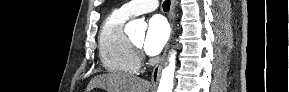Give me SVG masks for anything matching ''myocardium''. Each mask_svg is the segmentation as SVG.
<instances>
[{
  "mask_svg": "<svg viewBox=\"0 0 289 92\" xmlns=\"http://www.w3.org/2000/svg\"><path fill=\"white\" fill-rule=\"evenodd\" d=\"M130 43H131L133 50L138 55L140 53V49H141L140 46L136 45L132 40H130Z\"/></svg>",
  "mask_w": 289,
  "mask_h": 92,
  "instance_id": "myocardium-1",
  "label": "myocardium"
}]
</instances>
